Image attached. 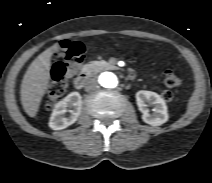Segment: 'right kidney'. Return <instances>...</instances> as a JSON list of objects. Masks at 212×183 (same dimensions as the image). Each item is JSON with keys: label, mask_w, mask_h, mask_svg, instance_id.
I'll return each mask as SVG.
<instances>
[{"label": "right kidney", "mask_w": 212, "mask_h": 183, "mask_svg": "<svg viewBox=\"0 0 212 183\" xmlns=\"http://www.w3.org/2000/svg\"><path fill=\"white\" fill-rule=\"evenodd\" d=\"M82 109V97L78 92L68 94L59 101L49 120V127L53 130H62L73 124L79 117ZM69 112V115L66 113Z\"/></svg>", "instance_id": "1"}]
</instances>
